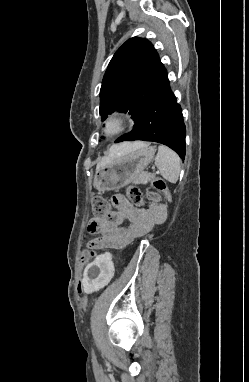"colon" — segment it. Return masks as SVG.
Here are the masks:
<instances>
[{"mask_svg":"<svg viewBox=\"0 0 249 382\" xmlns=\"http://www.w3.org/2000/svg\"><path fill=\"white\" fill-rule=\"evenodd\" d=\"M152 186L158 191V192H163L166 189V184L162 179H155L152 182ZM157 191H150L148 193V200L151 204H156L160 200V195ZM127 197L130 201V203L136 207L142 206L144 203L143 200V195L141 191L135 187V186H129L127 188ZM91 206H92V211L96 216H103L106 214L108 210V204L106 199H104L101 196H94L91 199ZM96 256L95 250H84L81 254V261L85 262L89 258H93Z\"/></svg>","mask_w":249,"mask_h":382,"instance_id":"1","label":"colon"}]
</instances>
